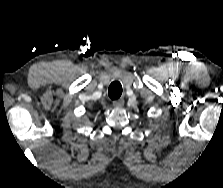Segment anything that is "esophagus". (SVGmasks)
Segmentation results:
<instances>
[{
	"mask_svg": "<svg viewBox=\"0 0 223 188\" xmlns=\"http://www.w3.org/2000/svg\"><path fill=\"white\" fill-rule=\"evenodd\" d=\"M124 105V100L123 99H118L113 101V106L116 108H121Z\"/></svg>",
	"mask_w": 223,
	"mask_h": 188,
	"instance_id": "34e87169",
	"label": "esophagus"
}]
</instances>
